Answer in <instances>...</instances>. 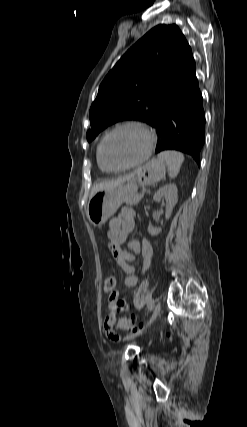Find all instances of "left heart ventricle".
Segmentation results:
<instances>
[{"label": "left heart ventricle", "mask_w": 247, "mask_h": 427, "mask_svg": "<svg viewBox=\"0 0 247 427\" xmlns=\"http://www.w3.org/2000/svg\"><path fill=\"white\" fill-rule=\"evenodd\" d=\"M148 146V137L138 128L126 127L112 134L104 147V157L111 167H122L137 161Z\"/></svg>", "instance_id": "b2bd125f"}]
</instances>
